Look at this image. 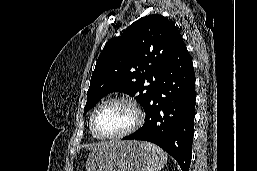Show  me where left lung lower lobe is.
<instances>
[{
    "mask_svg": "<svg viewBox=\"0 0 257 171\" xmlns=\"http://www.w3.org/2000/svg\"><path fill=\"white\" fill-rule=\"evenodd\" d=\"M195 73L186 46L168 60L156 89L145 107L144 125L123 140L157 144L170 154L182 171H189L195 116Z\"/></svg>",
    "mask_w": 257,
    "mask_h": 171,
    "instance_id": "left-lung-lower-lobe-1",
    "label": "left lung lower lobe"
}]
</instances>
